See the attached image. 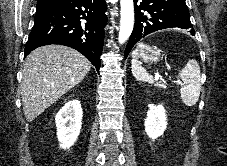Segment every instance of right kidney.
<instances>
[{
	"instance_id": "obj_1",
	"label": "right kidney",
	"mask_w": 227,
	"mask_h": 166,
	"mask_svg": "<svg viewBox=\"0 0 227 166\" xmlns=\"http://www.w3.org/2000/svg\"><path fill=\"white\" fill-rule=\"evenodd\" d=\"M80 101L67 102L56 114L57 138L62 149H69L77 140L82 126Z\"/></svg>"
}]
</instances>
